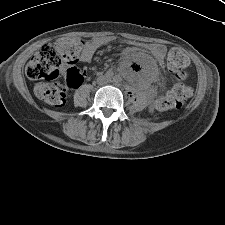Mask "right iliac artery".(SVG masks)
I'll return each instance as SVG.
<instances>
[{
  "instance_id": "1",
  "label": "right iliac artery",
  "mask_w": 225,
  "mask_h": 225,
  "mask_svg": "<svg viewBox=\"0 0 225 225\" xmlns=\"http://www.w3.org/2000/svg\"><path fill=\"white\" fill-rule=\"evenodd\" d=\"M112 75H113V73H112V72H107V74H106V76H107V77H109V78H111V77H112Z\"/></svg>"
}]
</instances>
